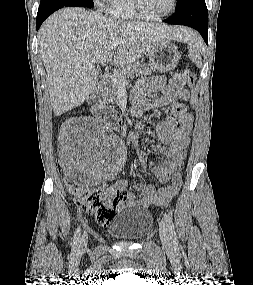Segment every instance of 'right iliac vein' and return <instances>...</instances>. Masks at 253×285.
Returning a JSON list of instances; mask_svg holds the SVG:
<instances>
[{"mask_svg": "<svg viewBox=\"0 0 253 285\" xmlns=\"http://www.w3.org/2000/svg\"><path fill=\"white\" fill-rule=\"evenodd\" d=\"M86 246H87V234L84 233L79 243L78 251L83 252L86 249Z\"/></svg>", "mask_w": 253, "mask_h": 285, "instance_id": "obj_1", "label": "right iliac vein"}]
</instances>
